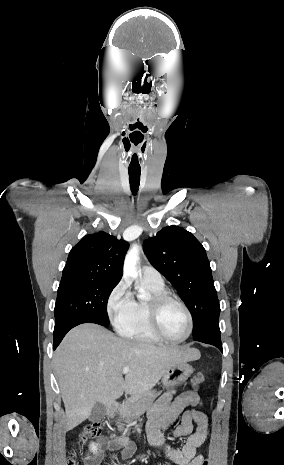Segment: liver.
Listing matches in <instances>:
<instances>
[{
  "label": "liver",
  "instance_id": "1",
  "mask_svg": "<svg viewBox=\"0 0 284 465\" xmlns=\"http://www.w3.org/2000/svg\"><path fill=\"white\" fill-rule=\"evenodd\" d=\"M198 349L155 347L120 339L100 325H79L64 337L54 355L66 431L86 421L96 403L150 391L178 363L200 359ZM124 367H130L123 377Z\"/></svg>",
  "mask_w": 284,
  "mask_h": 465
}]
</instances>
